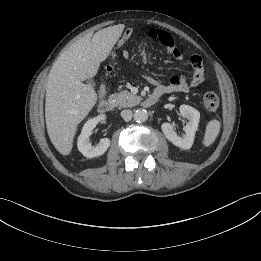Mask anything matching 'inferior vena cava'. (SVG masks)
Here are the masks:
<instances>
[{"mask_svg":"<svg viewBox=\"0 0 261 261\" xmlns=\"http://www.w3.org/2000/svg\"><path fill=\"white\" fill-rule=\"evenodd\" d=\"M132 116L133 112L129 109L121 111V117L127 122L131 120Z\"/></svg>","mask_w":261,"mask_h":261,"instance_id":"602c4592","label":"inferior vena cava"}]
</instances>
